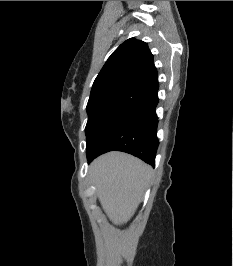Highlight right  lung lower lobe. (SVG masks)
<instances>
[{
    "label": "right lung lower lobe",
    "instance_id": "obj_1",
    "mask_svg": "<svg viewBox=\"0 0 233 266\" xmlns=\"http://www.w3.org/2000/svg\"><path fill=\"white\" fill-rule=\"evenodd\" d=\"M158 86L124 119L103 141L97 150L87 155L88 162L112 150L132 154L154 166L158 148L156 136L158 118L155 108L158 103Z\"/></svg>",
    "mask_w": 233,
    "mask_h": 266
}]
</instances>
